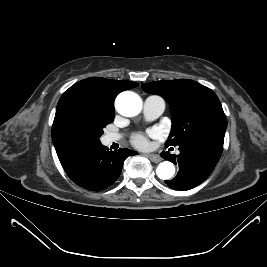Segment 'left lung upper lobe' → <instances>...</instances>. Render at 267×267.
Wrapping results in <instances>:
<instances>
[{"mask_svg": "<svg viewBox=\"0 0 267 267\" xmlns=\"http://www.w3.org/2000/svg\"><path fill=\"white\" fill-rule=\"evenodd\" d=\"M145 92L162 96L170 105L172 129L166 146L196 142L223 145L227 121L216 94L188 79L166 80L142 85Z\"/></svg>", "mask_w": 267, "mask_h": 267, "instance_id": "obj_1", "label": "left lung upper lobe"}]
</instances>
